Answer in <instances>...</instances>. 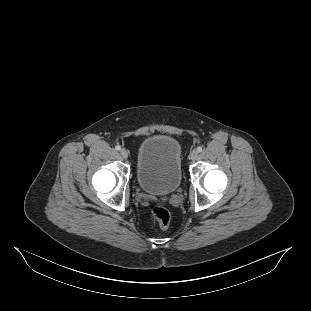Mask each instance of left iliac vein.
<instances>
[{
    "label": "left iliac vein",
    "instance_id": "left-iliac-vein-1",
    "mask_svg": "<svg viewBox=\"0 0 311 311\" xmlns=\"http://www.w3.org/2000/svg\"><path fill=\"white\" fill-rule=\"evenodd\" d=\"M198 156V151L196 149L192 150L191 153H190V158L192 160H195Z\"/></svg>",
    "mask_w": 311,
    "mask_h": 311
}]
</instances>
